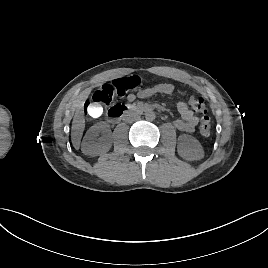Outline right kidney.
Here are the masks:
<instances>
[{
	"label": "right kidney",
	"mask_w": 268,
	"mask_h": 268,
	"mask_svg": "<svg viewBox=\"0 0 268 268\" xmlns=\"http://www.w3.org/2000/svg\"><path fill=\"white\" fill-rule=\"evenodd\" d=\"M102 136L99 137V134ZM111 133L110 127L105 122L94 124L85 134L81 143V150L85 155L98 156L110 150Z\"/></svg>",
	"instance_id": "1"
}]
</instances>
